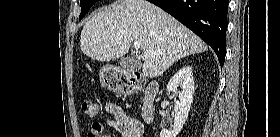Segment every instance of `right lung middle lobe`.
<instances>
[{"mask_svg": "<svg viewBox=\"0 0 280 137\" xmlns=\"http://www.w3.org/2000/svg\"><path fill=\"white\" fill-rule=\"evenodd\" d=\"M98 0H80V6H81V14L79 16V20H81L87 12L90 10V8L97 2Z\"/></svg>", "mask_w": 280, "mask_h": 137, "instance_id": "right-lung-middle-lobe-1", "label": "right lung middle lobe"}]
</instances>
